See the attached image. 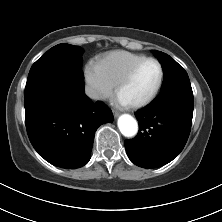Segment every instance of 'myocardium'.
I'll return each instance as SVG.
<instances>
[{"label":"myocardium","mask_w":222,"mask_h":222,"mask_svg":"<svg viewBox=\"0 0 222 222\" xmlns=\"http://www.w3.org/2000/svg\"><path fill=\"white\" fill-rule=\"evenodd\" d=\"M147 62H153L158 66L159 69V78H158V82L155 86V88L153 89V91L150 93V95L145 98L144 100L140 101V102H136V103H132L129 104L128 106L132 109H141L143 107H146L147 105H149L158 95L162 84H163V79H164V71H163V67L161 65V63L154 58H145L140 60L139 62H137L136 64H134L129 70L128 72L120 79V81L116 84V93L119 94V92L127 85L129 84V82L132 80V78L134 77L135 73L137 72V70L145 63Z\"/></svg>","instance_id":"f54148a6"}]
</instances>
